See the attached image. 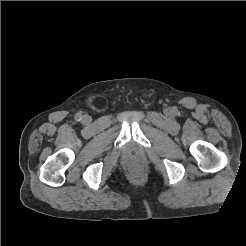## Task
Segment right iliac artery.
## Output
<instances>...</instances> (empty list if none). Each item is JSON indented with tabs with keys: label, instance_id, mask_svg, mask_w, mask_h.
<instances>
[{
	"label": "right iliac artery",
	"instance_id": "82829eb1",
	"mask_svg": "<svg viewBox=\"0 0 246 246\" xmlns=\"http://www.w3.org/2000/svg\"><path fill=\"white\" fill-rule=\"evenodd\" d=\"M82 119V115L80 113L75 115V120L80 121Z\"/></svg>",
	"mask_w": 246,
	"mask_h": 246
}]
</instances>
